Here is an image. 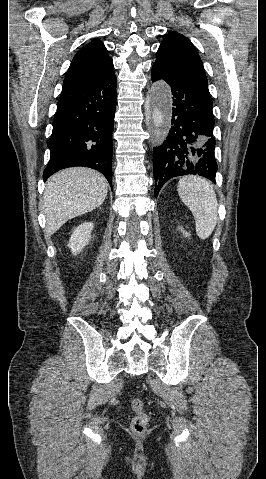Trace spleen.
Instances as JSON below:
<instances>
[{
    "instance_id": "3e777b00",
    "label": "spleen",
    "mask_w": 266,
    "mask_h": 479,
    "mask_svg": "<svg viewBox=\"0 0 266 479\" xmlns=\"http://www.w3.org/2000/svg\"><path fill=\"white\" fill-rule=\"evenodd\" d=\"M178 194L195 218L198 237L207 239L218 220V203L212 183L199 176H185L178 183Z\"/></svg>"
}]
</instances>
